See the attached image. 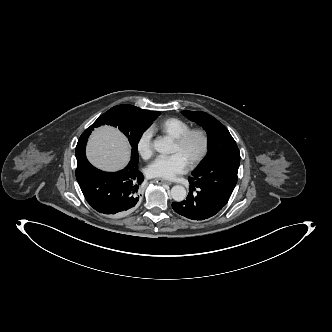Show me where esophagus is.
<instances>
[{"mask_svg": "<svg viewBox=\"0 0 332 332\" xmlns=\"http://www.w3.org/2000/svg\"><path fill=\"white\" fill-rule=\"evenodd\" d=\"M155 181H156L157 183H159V184H167V185H171V182L166 181V180H164V179H156Z\"/></svg>", "mask_w": 332, "mask_h": 332, "instance_id": "34e87169", "label": "esophagus"}]
</instances>
